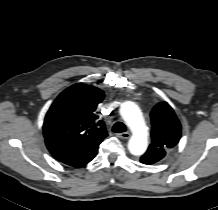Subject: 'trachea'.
<instances>
[{
    "mask_svg": "<svg viewBox=\"0 0 218 210\" xmlns=\"http://www.w3.org/2000/svg\"><path fill=\"white\" fill-rule=\"evenodd\" d=\"M112 131L114 133H122L126 131V126L122 122H116L113 125Z\"/></svg>",
    "mask_w": 218,
    "mask_h": 210,
    "instance_id": "3493384b",
    "label": "trachea"
}]
</instances>
